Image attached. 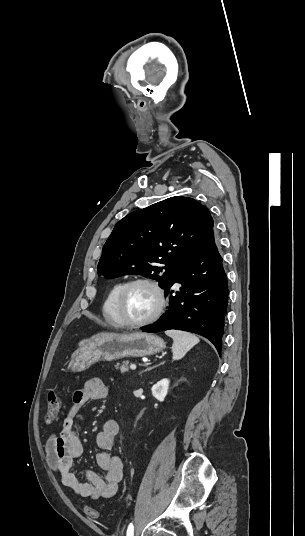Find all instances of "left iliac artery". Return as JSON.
<instances>
[{
	"label": "left iliac artery",
	"mask_w": 305,
	"mask_h": 536,
	"mask_svg": "<svg viewBox=\"0 0 305 536\" xmlns=\"http://www.w3.org/2000/svg\"><path fill=\"white\" fill-rule=\"evenodd\" d=\"M126 536H134V527L132 523H130L128 526Z\"/></svg>",
	"instance_id": "left-iliac-artery-1"
}]
</instances>
